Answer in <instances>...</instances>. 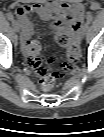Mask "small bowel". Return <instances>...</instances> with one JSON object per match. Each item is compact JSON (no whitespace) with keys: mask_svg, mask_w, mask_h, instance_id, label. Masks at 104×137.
I'll return each mask as SVG.
<instances>
[{"mask_svg":"<svg viewBox=\"0 0 104 137\" xmlns=\"http://www.w3.org/2000/svg\"><path fill=\"white\" fill-rule=\"evenodd\" d=\"M15 14L21 29V47L27 54L28 43L34 32L32 15L37 14L43 20L50 22L53 29L77 35L83 21L84 6L81 3L68 4L51 1L19 6Z\"/></svg>","mask_w":104,"mask_h":137,"instance_id":"c3829d8e","label":"small bowel"}]
</instances>
